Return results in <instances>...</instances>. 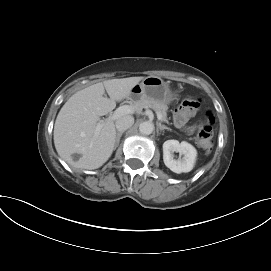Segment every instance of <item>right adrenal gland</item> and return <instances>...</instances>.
<instances>
[{
	"label": "right adrenal gland",
	"instance_id": "2a0ac1e0",
	"mask_svg": "<svg viewBox=\"0 0 271 271\" xmlns=\"http://www.w3.org/2000/svg\"><path fill=\"white\" fill-rule=\"evenodd\" d=\"M123 132H118L116 135V143H115V148L119 145L120 138L122 136Z\"/></svg>",
	"mask_w": 271,
	"mask_h": 271
}]
</instances>
